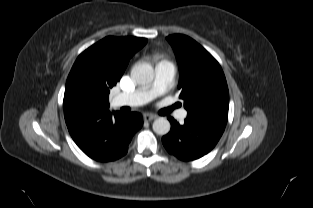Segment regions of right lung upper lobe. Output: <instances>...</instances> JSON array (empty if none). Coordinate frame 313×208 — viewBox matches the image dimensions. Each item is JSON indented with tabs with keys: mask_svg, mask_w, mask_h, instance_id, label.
<instances>
[{
	"mask_svg": "<svg viewBox=\"0 0 313 208\" xmlns=\"http://www.w3.org/2000/svg\"><path fill=\"white\" fill-rule=\"evenodd\" d=\"M147 42L145 38L108 36L76 59L66 81L63 107H109V90L122 77L130 58Z\"/></svg>",
	"mask_w": 313,
	"mask_h": 208,
	"instance_id": "cb5924a9",
	"label": "right lung upper lobe"
}]
</instances>
